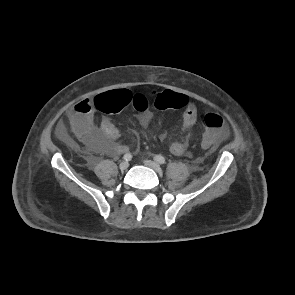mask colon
<instances>
[{
  "instance_id": "obj_1",
  "label": "colon",
  "mask_w": 295,
  "mask_h": 295,
  "mask_svg": "<svg viewBox=\"0 0 295 295\" xmlns=\"http://www.w3.org/2000/svg\"><path fill=\"white\" fill-rule=\"evenodd\" d=\"M152 101L159 110L181 109L187 104L186 95L173 91L154 92L150 96L142 93L133 94L128 89H115L97 95L91 104H83V110L91 107L104 113H116L121 109L132 105L137 111L145 112ZM205 131L202 135V145L210 147L225 134V120L219 114L208 113L204 118Z\"/></svg>"
}]
</instances>
